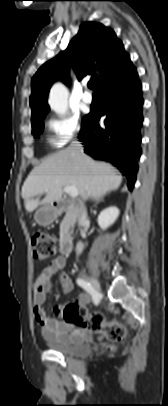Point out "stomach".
Returning a JSON list of instances; mask_svg holds the SVG:
<instances>
[{
  "mask_svg": "<svg viewBox=\"0 0 168 406\" xmlns=\"http://www.w3.org/2000/svg\"><path fill=\"white\" fill-rule=\"evenodd\" d=\"M58 212L55 208L51 206H46L41 209H39L35 213V221L42 226H46L51 224L57 217Z\"/></svg>",
  "mask_w": 168,
  "mask_h": 406,
  "instance_id": "0dacf381",
  "label": "stomach"
}]
</instances>
